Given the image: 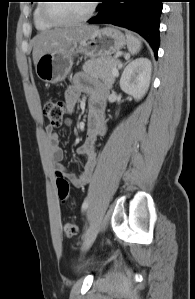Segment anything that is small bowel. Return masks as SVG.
<instances>
[{"label":"small bowel","mask_w":195,"mask_h":299,"mask_svg":"<svg viewBox=\"0 0 195 299\" xmlns=\"http://www.w3.org/2000/svg\"><path fill=\"white\" fill-rule=\"evenodd\" d=\"M82 95L89 97V113L85 141L76 149L78 155L86 157V162L79 174L69 172L62 164L64 155L59 147V137L54 132L53 126L48 125L45 128L48 148L57 173L66 177L76 188H81L90 181L96 167L95 143L98 136L106 130L104 109L107 88L103 84L87 78L84 74H77L65 92V104L68 112L74 110ZM70 125V120L64 121L65 127Z\"/></svg>","instance_id":"small-bowel-1"}]
</instances>
